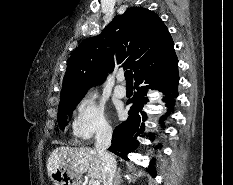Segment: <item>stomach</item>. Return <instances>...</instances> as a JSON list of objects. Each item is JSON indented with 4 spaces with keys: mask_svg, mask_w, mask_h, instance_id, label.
<instances>
[{
    "mask_svg": "<svg viewBox=\"0 0 233 185\" xmlns=\"http://www.w3.org/2000/svg\"><path fill=\"white\" fill-rule=\"evenodd\" d=\"M55 185H80L81 176L61 166H53L50 176Z\"/></svg>",
    "mask_w": 233,
    "mask_h": 185,
    "instance_id": "stomach-1",
    "label": "stomach"
}]
</instances>
